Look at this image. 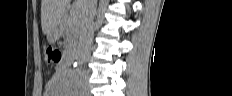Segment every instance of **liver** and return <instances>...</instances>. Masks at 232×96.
Here are the masks:
<instances>
[{
	"instance_id": "obj_1",
	"label": "liver",
	"mask_w": 232,
	"mask_h": 96,
	"mask_svg": "<svg viewBox=\"0 0 232 96\" xmlns=\"http://www.w3.org/2000/svg\"><path fill=\"white\" fill-rule=\"evenodd\" d=\"M80 1L77 4L80 6ZM70 0H42L41 1V26L44 34H48L58 27L65 9Z\"/></svg>"
}]
</instances>
